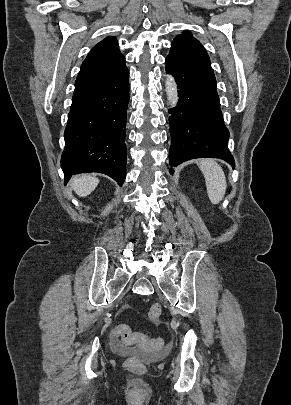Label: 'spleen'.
Masks as SVG:
<instances>
[{
  "label": "spleen",
  "mask_w": 291,
  "mask_h": 405,
  "mask_svg": "<svg viewBox=\"0 0 291 405\" xmlns=\"http://www.w3.org/2000/svg\"><path fill=\"white\" fill-rule=\"evenodd\" d=\"M200 169L205 178L210 201L213 204H218L223 199L227 188L223 169L212 159L201 160Z\"/></svg>",
  "instance_id": "obj_1"
}]
</instances>
